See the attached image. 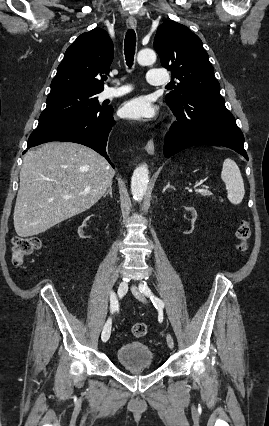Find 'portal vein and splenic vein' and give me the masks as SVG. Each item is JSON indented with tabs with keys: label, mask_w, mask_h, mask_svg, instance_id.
I'll return each instance as SVG.
<instances>
[{
	"label": "portal vein and splenic vein",
	"mask_w": 269,
	"mask_h": 426,
	"mask_svg": "<svg viewBox=\"0 0 269 426\" xmlns=\"http://www.w3.org/2000/svg\"><path fill=\"white\" fill-rule=\"evenodd\" d=\"M195 191L201 192L204 191L203 189H195Z\"/></svg>",
	"instance_id": "obj_1"
}]
</instances>
